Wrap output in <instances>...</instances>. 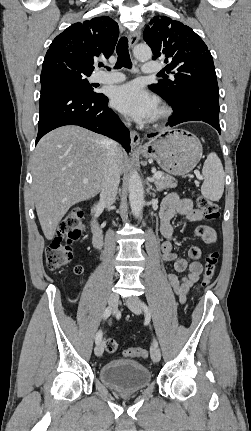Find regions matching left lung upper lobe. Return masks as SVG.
I'll list each match as a JSON object with an SVG mask.
<instances>
[{"instance_id": "left-lung-upper-lobe-1", "label": "left lung upper lobe", "mask_w": 251, "mask_h": 431, "mask_svg": "<svg viewBox=\"0 0 251 431\" xmlns=\"http://www.w3.org/2000/svg\"><path fill=\"white\" fill-rule=\"evenodd\" d=\"M153 60L167 63L168 76L149 85L172 107L197 91L219 93L212 55L202 39L188 26L169 17H154L143 33Z\"/></svg>"}]
</instances>
